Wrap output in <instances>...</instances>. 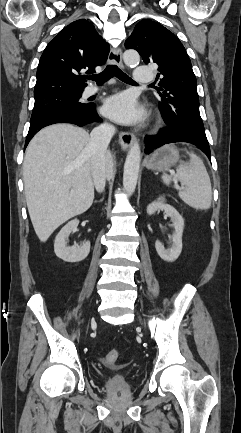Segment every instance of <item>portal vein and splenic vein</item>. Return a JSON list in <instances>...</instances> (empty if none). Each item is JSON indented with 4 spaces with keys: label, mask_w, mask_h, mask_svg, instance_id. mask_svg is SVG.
<instances>
[{
    "label": "portal vein and splenic vein",
    "mask_w": 241,
    "mask_h": 433,
    "mask_svg": "<svg viewBox=\"0 0 241 433\" xmlns=\"http://www.w3.org/2000/svg\"><path fill=\"white\" fill-rule=\"evenodd\" d=\"M174 188H175V189H179V190H182V189H184V187H183V186H181V187H180V186H179L178 184H175V185H174Z\"/></svg>",
    "instance_id": "portal-vein-and-splenic-vein-1"
}]
</instances>
